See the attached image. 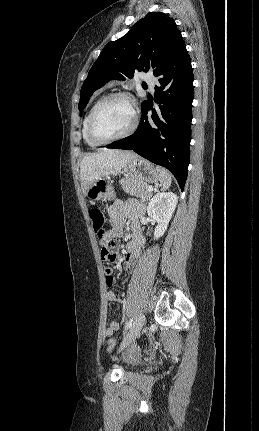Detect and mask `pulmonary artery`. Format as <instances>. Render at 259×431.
Listing matches in <instances>:
<instances>
[{"label":"pulmonary artery","mask_w":259,"mask_h":431,"mask_svg":"<svg viewBox=\"0 0 259 431\" xmlns=\"http://www.w3.org/2000/svg\"><path fill=\"white\" fill-rule=\"evenodd\" d=\"M144 80L150 85L151 89L154 88L155 78L152 75H146L144 77Z\"/></svg>","instance_id":"1"}]
</instances>
